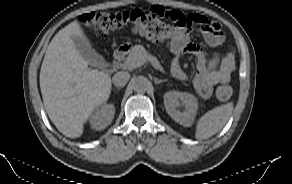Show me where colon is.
<instances>
[{
    "label": "colon",
    "instance_id": "obj_1",
    "mask_svg": "<svg viewBox=\"0 0 292 184\" xmlns=\"http://www.w3.org/2000/svg\"><path fill=\"white\" fill-rule=\"evenodd\" d=\"M80 21L101 35L131 30L154 42H170L179 32L195 26L191 16L158 6L150 10L133 9L115 13L92 11L83 14ZM231 95L232 88L228 85L216 89V96L221 101L228 100Z\"/></svg>",
    "mask_w": 292,
    "mask_h": 184
}]
</instances>
